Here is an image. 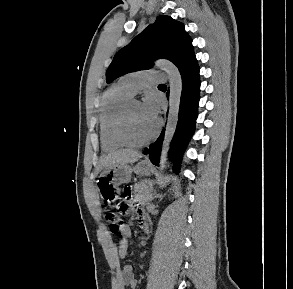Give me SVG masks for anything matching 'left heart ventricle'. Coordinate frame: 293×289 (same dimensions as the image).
<instances>
[{
  "label": "left heart ventricle",
  "mask_w": 293,
  "mask_h": 289,
  "mask_svg": "<svg viewBox=\"0 0 293 289\" xmlns=\"http://www.w3.org/2000/svg\"><path fill=\"white\" fill-rule=\"evenodd\" d=\"M157 121L152 120L145 113L140 102L133 104L129 115V133L135 141H143L151 136Z\"/></svg>",
  "instance_id": "b2bd125f"
}]
</instances>
